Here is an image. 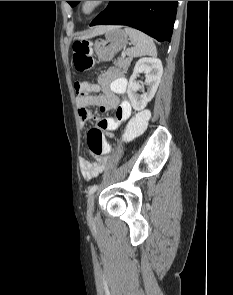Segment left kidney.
I'll return each mask as SVG.
<instances>
[{"mask_svg": "<svg viewBox=\"0 0 233 295\" xmlns=\"http://www.w3.org/2000/svg\"><path fill=\"white\" fill-rule=\"evenodd\" d=\"M142 72L146 74L145 84L148 85V90L138 96L136 92L142 89L143 86L136 81V78ZM162 74L163 66L161 60L158 58L145 57L136 62L127 88L128 98L134 110H143L148 102L152 100L159 86Z\"/></svg>", "mask_w": 233, "mask_h": 295, "instance_id": "5707ae66", "label": "left kidney"}]
</instances>
